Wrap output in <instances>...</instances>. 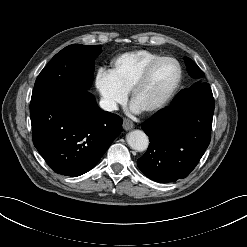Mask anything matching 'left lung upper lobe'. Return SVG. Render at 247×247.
Here are the masks:
<instances>
[{"mask_svg": "<svg viewBox=\"0 0 247 247\" xmlns=\"http://www.w3.org/2000/svg\"><path fill=\"white\" fill-rule=\"evenodd\" d=\"M185 63H186V66H187V70H188V73L189 75L192 77V78H195V79H198V80H201V78L204 76V73L202 72V70L188 57H185ZM200 82L196 83L195 85H193L192 87L196 86V85H199ZM191 87V88H192ZM190 89V88H189ZM189 89H183L181 90L175 98H178L180 96H182L183 94H185Z\"/></svg>", "mask_w": 247, "mask_h": 247, "instance_id": "obj_1", "label": "left lung upper lobe"}]
</instances>
